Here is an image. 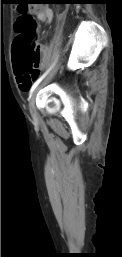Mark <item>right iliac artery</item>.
Listing matches in <instances>:
<instances>
[{"mask_svg": "<svg viewBox=\"0 0 122 257\" xmlns=\"http://www.w3.org/2000/svg\"><path fill=\"white\" fill-rule=\"evenodd\" d=\"M48 72L49 70L35 81V83L31 87L30 94H32V92L35 90V88L39 85V83L43 80V78L47 75Z\"/></svg>", "mask_w": 122, "mask_h": 257, "instance_id": "82829eb1", "label": "right iliac artery"}]
</instances>
